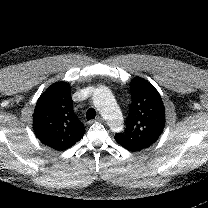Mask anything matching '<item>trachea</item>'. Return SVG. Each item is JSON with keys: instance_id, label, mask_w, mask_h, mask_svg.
Returning a JSON list of instances; mask_svg holds the SVG:
<instances>
[{"instance_id": "1", "label": "trachea", "mask_w": 208, "mask_h": 208, "mask_svg": "<svg viewBox=\"0 0 208 208\" xmlns=\"http://www.w3.org/2000/svg\"><path fill=\"white\" fill-rule=\"evenodd\" d=\"M95 116H96V111H95V109L89 108V109L87 110V112H86V118H87V120L89 121V120H91V119H94Z\"/></svg>"}]
</instances>
